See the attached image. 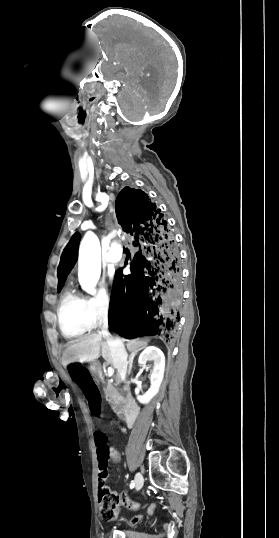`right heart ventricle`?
Instances as JSON below:
<instances>
[{"instance_id":"1","label":"right heart ventricle","mask_w":279,"mask_h":538,"mask_svg":"<svg viewBox=\"0 0 279 538\" xmlns=\"http://www.w3.org/2000/svg\"><path fill=\"white\" fill-rule=\"evenodd\" d=\"M55 218L59 219L57 215ZM57 317L59 328L66 338L81 336L92 328L88 316V297L78 293L70 284L60 298Z\"/></svg>"}]
</instances>
